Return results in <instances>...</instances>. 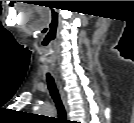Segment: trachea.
Segmentation results:
<instances>
[{
  "instance_id": "obj_1",
  "label": "trachea",
  "mask_w": 134,
  "mask_h": 123,
  "mask_svg": "<svg viewBox=\"0 0 134 123\" xmlns=\"http://www.w3.org/2000/svg\"><path fill=\"white\" fill-rule=\"evenodd\" d=\"M47 85H48L50 95L53 101L55 102L59 114V120H64L66 116L65 109L60 99V95L55 85L54 79L50 76V74H47Z\"/></svg>"
}]
</instances>
